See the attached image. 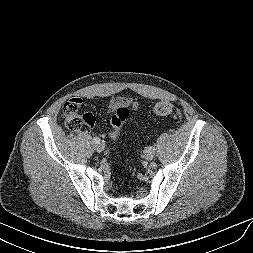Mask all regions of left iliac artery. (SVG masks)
<instances>
[{
    "instance_id": "44dca946",
    "label": "left iliac artery",
    "mask_w": 253,
    "mask_h": 253,
    "mask_svg": "<svg viewBox=\"0 0 253 253\" xmlns=\"http://www.w3.org/2000/svg\"><path fill=\"white\" fill-rule=\"evenodd\" d=\"M149 150L155 153L156 149L154 147H149Z\"/></svg>"
}]
</instances>
